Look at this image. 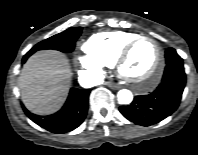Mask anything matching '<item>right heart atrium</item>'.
Wrapping results in <instances>:
<instances>
[{"instance_id": "obj_1", "label": "right heart atrium", "mask_w": 198, "mask_h": 155, "mask_svg": "<svg viewBox=\"0 0 198 155\" xmlns=\"http://www.w3.org/2000/svg\"><path fill=\"white\" fill-rule=\"evenodd\" d=\"M77 62L82 71L88 75L100 77L104 73L105 66L88 55L77 56Z\"/></svg>"}]
</instances>
